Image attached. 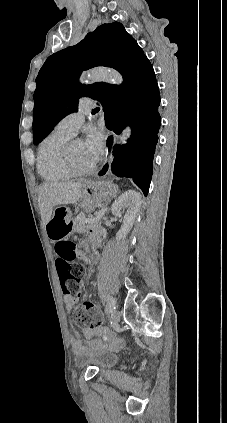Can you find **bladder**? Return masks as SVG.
I'll return each mask as SVG.
<instances>
[{"instance_id": "31cf9c89", "label": "bladder", "mask_w": 227, "mask_h": 423, "mask_svg": "<svg viewBox=\"0 0 227 423\" xmlns=\"http://www.w3.org/2000/svg\"><path fill=\"white\" fill-rule=\"evenodd\" d=\"M77 360L80 366L91 365L101 371L117 365L119 355L109 352L107 349H97L89 351L87 355L79 357Z\"/></svg>"}]
</instances>
